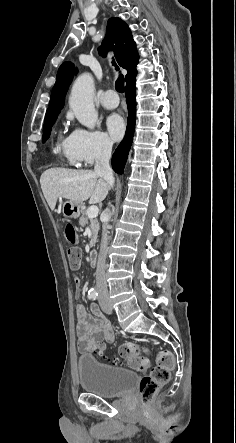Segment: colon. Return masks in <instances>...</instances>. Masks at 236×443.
<instances>
[{
    "instance_id": "obj_1",
    "label": "colon",
    "mask_w": 236,
    "mask_h": 443,
    "mask_svg": "<svg viewBox=\"0 0 236 443\" xmlns=\"http://www.w3.org/2000/svg\"><path fill=\"white\" fill-rule=\"evenodd\" d=\"M65 235L69 242L74 243L77 239L75 226L71 223L65 226ZM68 264L73 271L79 269L81 264V250L77 247L68 249ZM94 357L106 363L117 364L116 358L108 357L105 354L104 343H97L91 350ZM119 354L126 361L129 368L144 371L149 367V351L146 347L140 346L136 342L126 341L120 344ZM174 365V358L169 352H162L157 356L156 365L150 373L145 375L139 385L140 400L143 405L151 402L157 391L165 385L170 378V371Z\"/></svg>"
}]
</instances>
